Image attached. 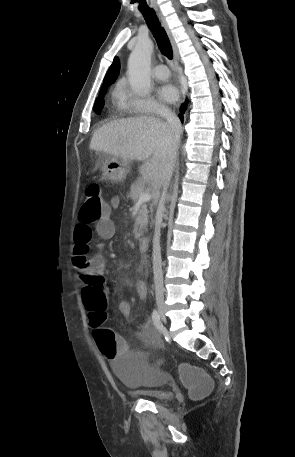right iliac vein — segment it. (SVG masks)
Here are the masks:
<instances>
[{"mask_svg":"<svg viewBox=\"0 0 295 457\" xmlns=\"http://www.w3.org/2000/svg\"><path fill=\"white\" fill-rule=\"evenodd\" d=\"M157 309L160 317L162 318L163 322L166 323V317H165V306L162 300L157 301Z\"/></svg>","mask_w":295,"mask_h":457,"instance_id":"1","label":"right iliac vein"}]
</instances>
